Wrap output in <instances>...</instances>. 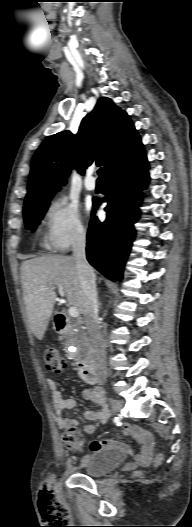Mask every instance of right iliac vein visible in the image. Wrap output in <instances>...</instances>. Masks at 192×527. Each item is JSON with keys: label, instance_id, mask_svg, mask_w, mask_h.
<instances>
[{"label": "right iliac vein", "instance_id": "right-iliac-vein-1", "mask_svg": "<svg viewBox=\"0 0 192 527\" xmlns=\"http://www.w3.org/2000/svg\"><path fill=\"white\" fill-rule=\"evenodd\" d=\"M109 403L113 409V411L117 412L122 408V403L119 400L110 398Z\"/></svg>", "mask_w": 192, "mask_h": 527}]
</instances>
